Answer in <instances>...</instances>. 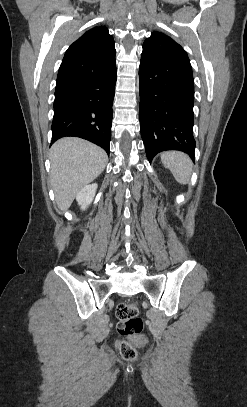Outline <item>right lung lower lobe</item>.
<instances>
[{
	"instance_id": "right-lung-lower-lobe-1",
	"label": "right lung lower lobe",
	"mask_w": 247,
	"mask_h": 407,
	"mask_svg": "<svg viewBox=\"0 0 247 407\" xmlns=\"http://www.w3.org/2000/svg\"><path fill=\"white\" fill-rule=\"evenodd\" d=\"M115 59L79 81L55 90L52 141L65 136L86 139L110 153Z\"/></svg>"
}]
</instances>
